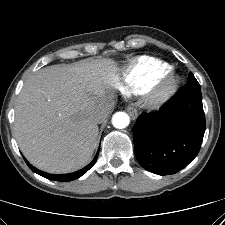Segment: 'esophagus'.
I'll use <instances>...</instances> for the list:
<instances>
[{
	"instance_id": "34e87169",
	"label": "esophagus",
	"mask_w": 225,
	"mask_h": 225,
	"mask_svg": "<svg viewBox=\"0 0 225 225\" xmlns=\"http://www.w3.org/2000/svg\"><path fill=\"white\" fill-rule=\"evenodd\" d=\"M127 112L133 120L137 118L138 112H137L136 108H134L132 106H128Z\"/></svg>"
}]
</instances>
